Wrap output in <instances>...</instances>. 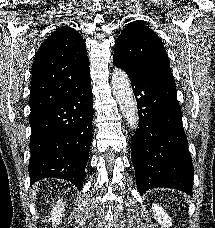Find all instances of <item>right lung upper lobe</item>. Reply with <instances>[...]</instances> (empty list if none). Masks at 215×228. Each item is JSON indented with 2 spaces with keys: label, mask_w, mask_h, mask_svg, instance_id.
Segmentation results:
<instances>
[{
  "label": "right lung upper lobe",
  "mask_w": 215,
  "mask_h": 228,
  "mask_svg": "<svg viewBox=\"0 0 215 228\" xmlns=\"http://www.w3.org/2000/svg\"><path fill=\"white\" fill-rule=\"evenodd\" d=\"M90 75L86 43L71 27L57 28L39 47L32 66L30 117L64 98L68 85Z\"/></svg>",
  "instance_id": "cb5924a9"
}]
</instances>
